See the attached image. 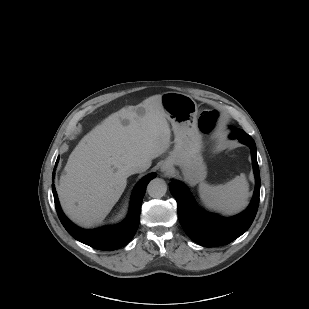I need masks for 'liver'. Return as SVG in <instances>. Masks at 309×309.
Instances as JSON below:
<instances>
[{"label":"liver","mask_w":309,"mask_h":309,"mask_svg":"<svg viewBox=\"0 0 309 309\" xmlns=\"http://www.w3.org/2000/svg\"><path fill=\"white\" fill-rule=\"evenodd\" d=\"M170 139L160 95L110 115L69 156L57 187L64 212L84 227L101 223L124 192L128 170L149 168L170 147Z\"/></svg>","instance_id":"6515ba94"}]
</instances>
